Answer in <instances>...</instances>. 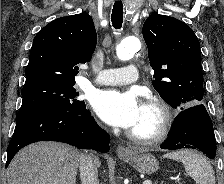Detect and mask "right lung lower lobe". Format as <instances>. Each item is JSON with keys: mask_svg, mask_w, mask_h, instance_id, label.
I'll return each mask as SVG.
<instances>
[{"mask_svg": "<svg viewBox=\"0 0 224 184\" xmlns=\"http://www.w3.org/2000/svg\"><path fill=\"white\" fill-rule=\"evenodd\" d=\"M37 141H60L79 149L108 152L110 137L97 125L86 106L73 112H34L16 122L8 146L6 167L21 148Z\"/></svg>", "mask_w": 224, "mask_h": 184, "instance_id": "1", "label": "right lung lower lobe"}]
</instances>
